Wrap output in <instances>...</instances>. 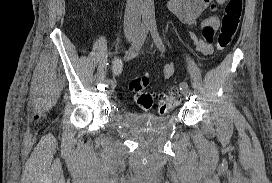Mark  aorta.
I'll return each mask as SVG.
<instances>
[{
    "label": "aorta",
    "mask_w": 272,
    "mask_h": 183,
    "mask_svg": "<svg viewBox=\"0 0 272 183\" xmlns=\"http://www.w3.org/2000/svg\"><path fill=\"white\" fill-rule=\"evenodd\" d=\"M142 1V21L144 24L155 23V8L154 0H141Z\"/></svg>",
    "instance_id": "762f6f07"
}]
</instances>
